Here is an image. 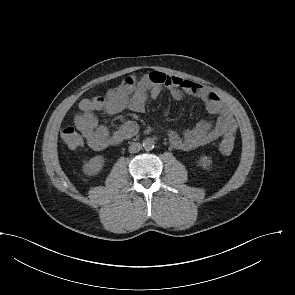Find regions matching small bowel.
I'll return each mask as SVG.
<instances>
[{"label":"small bowel","mask_w":295,"mask_h":295,"mask_svg":"<svg viewBox=\"0 0 295 295\" xmlns=\"http://www.w3.org/2000/svg\"><path fill=\"white\" fill-rule=\"evenodd\" d=\"M164 88L169 89L175 100H180L185 95L201 99L205 103L207 112L216 116L214 122L200 121L195 127L182 134L169 130L168 138L173 148L191 151L215 142L225 135L235 133L236 121L217 94L193 81L156 71L140 78L127 77L102 96L82 99L74 123L90 148L100 151L118 145L137 133L136 122L128 120L116 131L110 133L106 126L98 123L95 113L103 111L113 115L125 110L142 113L147 99L149 97L153 100L157 99Z\"/></svg>","instance_id":"1"}]
</instances>
